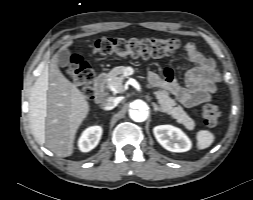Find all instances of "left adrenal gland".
<instances>
[{
	"label": "left adrenal gland",
	"instance_id": "obj_1",
	"mask_svg": "<svg viewBox=\"0 0 253 200\" xmlns=\"http://www.w3.org/2000/svg\"><path fill=\"white\" fill-rule=\"evenodd\" d=\"M153 106H154V110H155V111H160V108L157 107V105H156L155 103H153Z\"/></svg>",
	"mask_w": 253,
	"mask_h": 200
}]
</instances>
